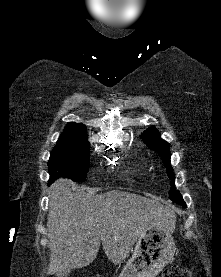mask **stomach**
Listing matches in <instances>:
<instances>
[{"label":"stomach","mask_w":221,"mask_h":277,"mask_svg":"<svg viewBox=\"0 0 221 277\" xmlns=\"http://www.w3.org/2000/svg\"><path fill=\"white\" fill-rule=\"evenodd\" d=\"M174 227L175 219L169 224L161 223L149 227L138 239L133 255L119 277H156L174 258Z\"/></svg>","instance_id":"stomach-1"}]
</instances>
